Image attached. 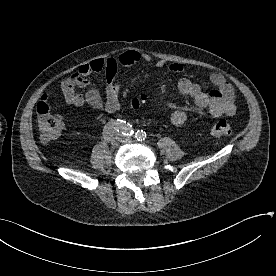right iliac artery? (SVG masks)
I'll return each mask as SVG.
<instances>
[{"label": "right iliac artery", "mask_w": 276, "mask_h": 276, "mask_svg": "<svg viewBox=\"0 0 276 276\" xmlns=\"http://www.w3.org/2000/svg\"><path fill=\"white\" fill-rule=\"evenodd\" d=\"M115 132H120L124 136H131L134 134L132 125L123 120H112L107 123L103 129V138L109 141Z\"/></svg>", "instance_id": "1"}]
</instances>
